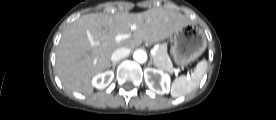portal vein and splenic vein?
<instances>
[{
	"instance_id": "portal-vein-and-splenic-vein-1",
	"label": "portal vein and splenic vein",
	"mask_w": 276,
	"mask_h": 120,
	"mask_svg": "<svg viewBox=\"0 0 276 120\" xmlns=\"http://www.w3.org/2000/svg\"><path fill=\"white\" fill-rule=\"evenodd\" d=\"M136 28H137L136 25L131 26V30H136ZM129 37H130V34H119L115 37V41L120 42V41H122L124 39H127ZM92 44H95V43H92ZM151 54H152V56H154L155 55V50H151ZM172 71H174V73L176 75L179 73L178 69H172Z\"/></svg>"
}]
</instances>
